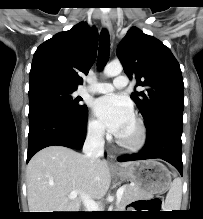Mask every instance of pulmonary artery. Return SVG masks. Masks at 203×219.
<instances>
[{
	"instance_id": "e3ab8cb5",
	"label": "pulmonary artery",
	"mask_w": 203,
	"mask_h": 219,
	"mask_svg": "<svg viewBox=\"0 0 203 219\" xmlns=\"http://www.w3.org/2000/svg\"><path fill=\"white\" fill-rule=\"evenodd\" d=\"M128 84L126 76H118L114 79L113 83L98 82L86 88V91L98 94H107L115 89L125 88Z\"/></svg>"
}]
</instances>
